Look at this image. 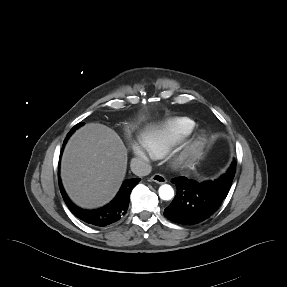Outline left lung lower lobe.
I'll return each mask as SVG.
<instances>
[{
	"instance_id": "0a47b994",
	"label": "left lung lower lobe",
	"mask_w": 287,
	"mask_h": 287,
	"mask_svg": "<svg viewBox=\"0 0 287 287\" xmlns=\"http://www.w3.org/2000/svg\"><path fill=\"white\" fill-rule=\"evenodd\" d=\"M235 170L234 160L227 173L214 181L198 183L183 176L172 179L177 194L164 210L165 217L183 225H193L209 218L227 196Z\"/></svg>"
}]
</instances>
